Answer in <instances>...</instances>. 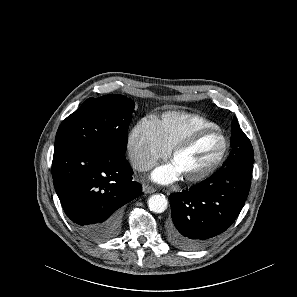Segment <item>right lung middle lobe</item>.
<instances>
[{
  "label": "right lung middle lobe",
  "instance_id": "dd1d6c3e",
  "mask_svg": "<svg viewBox=\"0 0 297 297\" xmlns=\"http://www.w3.org/2000/svg\"><path fill=\"white\" fill-rule=\"evenodd\" d=\"M134 106L131 99L118 94L87 99L59 126L55 148L94 145L125 154Z\"/></svg>",
  "mask_w": 297,
  "mask_h": 297
}]
</instances>
